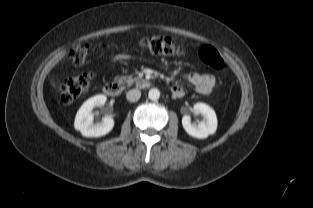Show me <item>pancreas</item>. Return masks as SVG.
<instances>
[{
	"mask_svg": "<svg viewBox=\"0 0 313 208\" xmlns=\"http://www.w3.org/2000/svg\"><path fill=\"white\" fill-rule=\"evenodd\" d=\"M117 81L119 83H126L130 86L135 82H139V78H132V76H120L117 78Z\"/></svg>",
	"mask_w": 313,
	"mask_h": 208,
	"instance_id": "pancreas-1",
	"label": "pancreas"
}]
</instances>
